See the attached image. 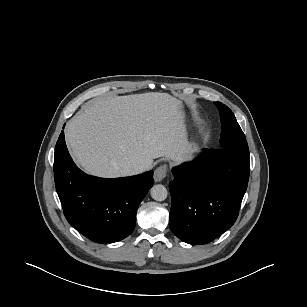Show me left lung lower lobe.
<instances>
[{"label":"left lung lower lobe","instance_id":"1","mask_svg":"<svg viewBox=\"0 0 307 307\" xmlns=\"http://www.w3.org/2000/svg\"><path fill=\"white\" fill-rule=\"evenodd\" d=\"M250 158L233 150L204 149L174 167L170 182L172 232L189 244H206L236 221L247 189Z\"/></svg>","mask_w":307,"mask_h":307}]
</instances>
